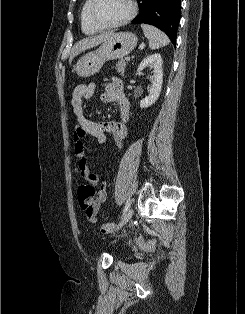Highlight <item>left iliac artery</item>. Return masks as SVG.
<instances>
[{"mask_svg": "<svg viewBox=\"0 0 245 314\" xmlns=\"http://www.w3.org/2000/svg\"><path fill=\"white\" fill-rule=\"evenodd\" d=\"M129 206H130V200L127 201V203H126V205H125V207H124V209H123V215H124V213L127 211V209L129 208Z\"/></svg>", "mask_w": 245, "mask_h": 314, "instance_id": "1", "label": "left iliac artery"}]
</instances>
